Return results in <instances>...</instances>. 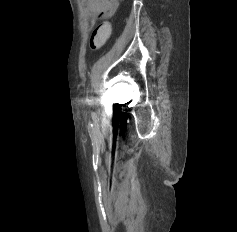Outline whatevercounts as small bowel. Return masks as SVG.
<instances>
[{
	"label": "small bowel",
	"instance_id": "obj_1",
	"mask_svg": "<svg viewBox=\"0 0 237 232\" xmlns=\"http://www.w3.org/2000/svg\"><path fill=\"white\" fill-rule=\"evenodd\" d=\"M118 0H88L89 10L97 16L108 17L114 13Z\"/></svg>",
	"mask_w": 237,
	"mask_h": 232
}]
</instances>
